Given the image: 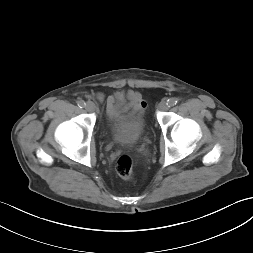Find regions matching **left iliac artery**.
Segmentation results:
<instances>
[{
    "label": "left iliac artery",
    "instance_id": "obj_1",
    "mask_svg": "<svg viewBox=\"0 0 253 253\" xmlns=\"http://www.w3.org/2000/svg\"><path fill=\"white\" fill-rule=\"evenodd\" d=\"M178 98H171V99H168V103L170 106H174L178 103Z\"/></svg>",
    "mask_w": 253,
    "mask_h": 253
}]
</instances>
